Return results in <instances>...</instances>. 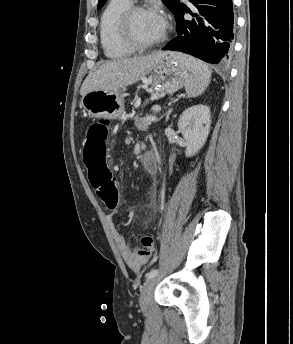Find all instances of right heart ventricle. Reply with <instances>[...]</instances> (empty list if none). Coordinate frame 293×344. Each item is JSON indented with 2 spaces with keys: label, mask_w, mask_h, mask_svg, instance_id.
<instances>
[{
  "label": "right heart ventricle",
  "mask_w": 293,
  "mask_h": 344,
  "mask_svg": "<svg viewBox=\"0 0 293 344\" xmlns=\"http://www.w3.org/2000/svg\"><path fill=\"white\" fill-rule=\"evenodd\" d=\"M130 5V0H109L101 13L99 38L105 56L110 59H123L135 53L121 40L117 27L120 15Z\"/></svg>",
  "instance_id": "right-heart-ventricle-1"
}]
</instances>
